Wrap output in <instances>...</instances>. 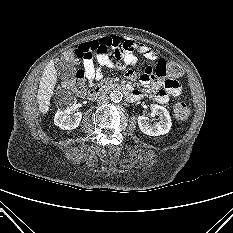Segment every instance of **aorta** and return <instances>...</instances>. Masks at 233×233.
Returning <instances> with one entry per match:
<instances>
[{
  "instance_id": "aorta-1",
  "label": "aorta",
  "mask_w": 233,
  "mask_h": 233,
  "mask_svg": "<svg viewBox=\"0 0 233 233\" xmlns=\"http://www.w3.org/2000/svg\"><path fill=\"white\" fill-rule=\"evenodd\" d=\"M123 95L120 91H112L110 93V99L111 101H113L114 103H119L122 101Z\"/></svg>"
}]
</instances>
